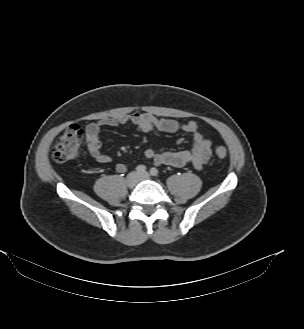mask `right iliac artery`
<instances>
[{
    "label": "right iliac artery",
    "instance_id": "right-iliac-artery-1",
    "mask_svg": "<svg viewBox=\"0 0 304 329\" xmlns=\"http://www.w3.org/2000/svg\"><path fill=\"white\" fill-rule=\"evenodd\" d=\"M145 171H146V166H144V165H138L136 167V172L139 174L144 173Z\"/></svg>",
    "mask_w": 304,
    "mask_h": 329
}]
</instances>
